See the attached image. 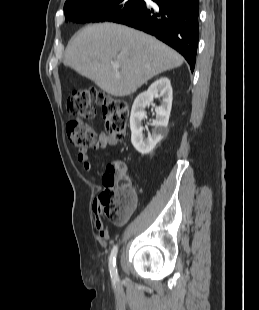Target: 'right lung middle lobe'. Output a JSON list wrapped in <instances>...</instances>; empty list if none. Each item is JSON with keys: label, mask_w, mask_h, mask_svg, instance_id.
<instances>
[{"label": "right lung middle lobe", "mask_w": 259, "mask_h": 310, "mask_svg": "<svg viewBox=\"0 0 259 310\" xmlns=\"http://www.w3.org/2000/svg\"><path fill=\"white\" fill-rule=\"evenodd\" d=\"M145 5L142 0H101L98 2L64 7L65 20L77 23H119L132 12Z\"/></svg>", "instance_id": "dd1d6c3e"}]
</instances>
